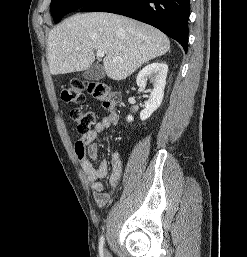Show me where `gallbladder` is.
<instances>
[{
    "mask_svg": "<svg viewBox=\"0 0 247 257\" xmlns=\"http://www.w3.org/2000/svg\"><path fill=\"white\" fill-rule=\"evenodd\" d=\"M82 77L88 81L101 80L105 77V71L101 64L95 63L83 72Z\"/></svg>",
    "mask_w": 247,
    "mask_h": 257,
    "instance_id": "obj_1",
    "label": "gallbladder"
}]
</instances>
